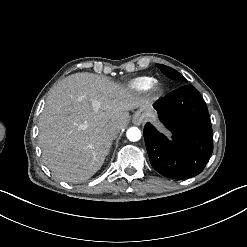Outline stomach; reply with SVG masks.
Segmentation results:
<instances>
[{"instance_id": "stomach-1", "label": "stomach", "mask_w": 247, "mask_h": 247, "mask_svg": "<svg viewBox=\"0 0 247 247\" xmlns=\"http://www.w3.org/2000/svg\"><path fill=\"white\" fill-rule=\"evenodd\" d=\"M144 121L153 122L162 133L169 132V130L158 120L153 101L151 100L145 105L140 106L132 117V122L134 124H141Z\"/></svg>"}]
</instances>
